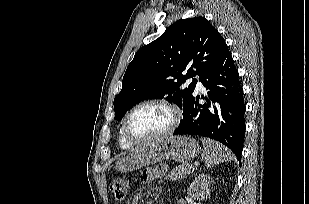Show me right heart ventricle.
Instances as JSON below:
<instances>
[{
  "label": "right heart ventricle",
  "mask_w": 309,
  "mask_h": 204,
  "mask_svg": "<svg viewBox=\"0 0 309 204\" xmlns=\"http://www.w3.org/2000/svg\"><path fill=\"white\" fill-rule=\"evenodd\" d=\"M119 144L121 147L123 148H129L131 147V144H129L125 138L123 137V134H122V129H120V132H119Z\"/></svg>",
  "instance_id": "right-heart-ventricle-1"
}]
</instances>
